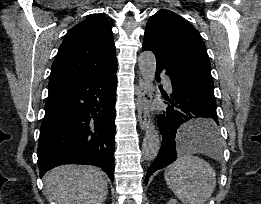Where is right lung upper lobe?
<instances>
[{
  "mask_svg": "<svg viewBox=\"0 0 261 204\" xmlns=\"http://www.w3.org/2000/svg\"><path fill=\"white\" fill-rule=\"evenodd\" d=\"M117 66L111 25L93 15L65 35L51 68L49 88L99 75Z\"/></svg>",
  "mask_w": 261,
  "mask_h": 204,
  "instance_id": "obj_1",
  "label": "right lung upper lobe"
}]
</instances>
